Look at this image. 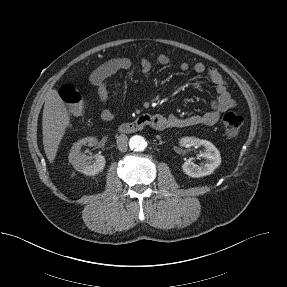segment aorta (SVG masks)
I'll list each match as a JSON object with an SVG mask.
<instances>
[{
  "label": "aorta",
  "mask_w": 287,
  "mask_h": 287,
  "mask_svg": "<svg viewBox=\"0 0 287 287\" xmlns=\"http://www.w3.org/2000/svg\"><path fill=\"white\" fill-rule=\"evenodd\" d=\"M129 147L134 151H143L147 147V142L144 137L135 135L130 138Z\"/></svg>",
  "instance_id": "762f6f07"
}]
</instances>
